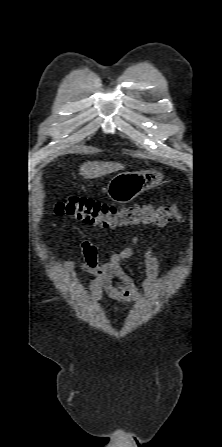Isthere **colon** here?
<instances>
[{
    "label": "colon",
    "instance_id": "obj_1",
    "mask_svg": "<svg viewBox=\"0 0 222 447\" xmlns=\"http://www.w3.org/2000/svg\"><path fill=\"white\" fill-rule=\"evenodd\" d=\"M58 215L70 216L86 225L103 228L133 227L154 224L164 227L179 220L180 207L175 203L167 207L131 204L117 206L85 197H69L56 204Z\"/></svg>",
    "mask_w": 222,
    "mask_h": 447
}]
</instances>
